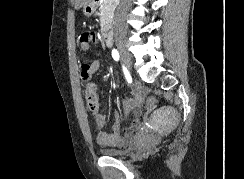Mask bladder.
Masks as SVG:
<instances>
[{
  "instance_id": "obj_1",
  "label": "bladder",
  "mask_w": 244,
  "mask_h": 179,
  "mask_svg": "<svg viewBox=\"0 0 244 179\" xmlns=\"http://www.w3.org/2000/svg\"><path fill=\"white\" fill-rule=\"evenodd\" d=\"M100 152L103 156L106 157H115L123 154L122 150L115 149V148H100Z\"/></svg>"
}]
</instances>
